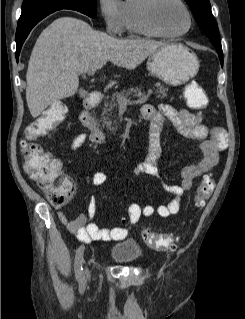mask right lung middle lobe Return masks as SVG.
Masks as SVG:
<instances>
[{
  "label": "right lung middle lobe",
  "instance_id": "obj_1",
  "mask_svg": "<svg viewBox=\"0 0 245 319\" xmlns=\"http://www.w3.org/2000/svg\"><path fill=\"white\" fill-rule=\"evenodd\" d=\"M60 9H72L96 17V0H24L18 25Z\"/></svg>",
  "mask_w": 245,
  "mask_h": 319
}]
</instances>
